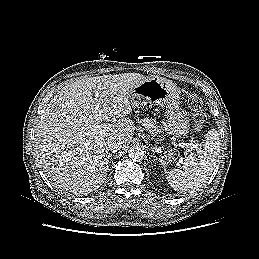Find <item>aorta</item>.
<instances>
[{
	"label": "aorta",
	"mask_w": 259,
	"mask_h": 259,
	"mask_svg": "<svg viewBox=\"0 0 259 259\" xmlns=\"http://www.w3.org/2000/svg\"><path fill=\"white\" fill-rule=\"evenodd\" d=\"M128 156L132 161L139 162L143 159L144 151L141 148L133 147L129 150Z\"/></svg>",
	"instance_id": "1"
}]
</instances>
